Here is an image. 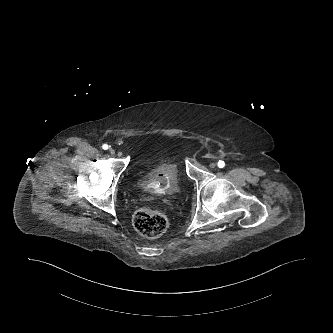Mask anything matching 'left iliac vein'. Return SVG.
Listing matches in <instances>:
<instances>
[{
  "label": "left iliac vein",
  "instance_id": "1",
  "mask_svg": "<svg viewBox=\"0 0 333 333\" xmlns=\"http://www.w3.org/2000/svg\"><path fill=\"white\" fill-rule=\"evenodd\" d=\"M210 168H215L216 167V163H214V162H212V163H210Z\"/></svg>",
  "mask_w": 333,
  "mask_h": 333
}]
</instances>
